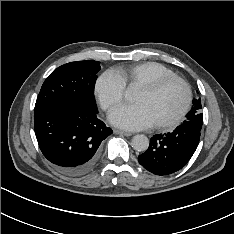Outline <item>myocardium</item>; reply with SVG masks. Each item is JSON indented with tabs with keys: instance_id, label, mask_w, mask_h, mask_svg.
<instances>
[{
	"instance_id": "f54148a6",
	"label": "myocardium",
	"mask_w": 234,
	"mask_h": 234,
	"mask_svg": "<svg viewBox=\"0 0 234 234\" xmlns=\"http://www.w3.org/2000/svg\"><path fill=\"white\" fill-rule=\"evenodd\" d=\"M174 82L179 83L184 89V92H185L184 104L181 107V109L178 111V113L175 116H173L171 119L164 121V122L153 124V127L155 129H159V130L170 129L176 126L183 119V117L187 114L190 108L191 102H192V91H191L190 85L181 77L169 76V77H164L154 82H151L149 84H144L138 87V90L146 94H153L159 91L160 89H162L163 87L167 86L168 84L174 83Z\"/></svg>"
}]
</instances>
